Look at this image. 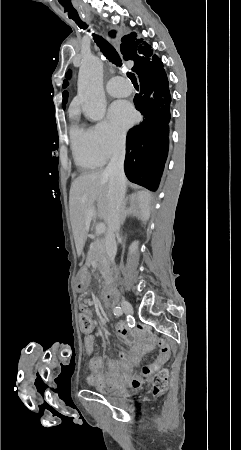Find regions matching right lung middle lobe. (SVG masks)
<instances>
[{"instance_id":"right-lung-middle-lobe-1","label":"right lung middle lobe","mask_w":241,"mask_h":450,"mask_svg":"<svg viewBox=\"0 0 241 450\" xmlns=\"http://www.w3.org/2000/svg\"><path fill=\"white\" fill-rule=\"evenodd\" d=\"M67 85H68V82H64V83H63V88H66ZM67 97H68V92H67V91H64V92H63V101H62V103H63V108H65V104L67 103Z\"/></svg>"}]
</instances>
